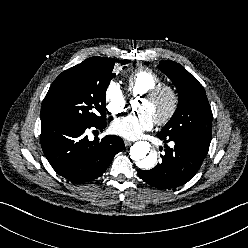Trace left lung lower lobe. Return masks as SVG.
<instances>
[{"instance_id": "left-lung-lower-lobe-1", "label": "left lung lower lobe", "mask_w": 248, "mask_h": 248, "mask_svg": "<svg viewBox=\"0 0 248 248\" xmlns=\"http://www.w3.org/2000/svg\"><path fill=\"white\" fill-rule=\"evenodd\" d=\"M157 136L165 143L174 141L175 147L171 149L166 146L162 162L148 171L139 169V177L151 186L160 189L185 184L199 170L210 144L198 143L180 136H165L160 132Z\"/></svg>"}]
</instances>
